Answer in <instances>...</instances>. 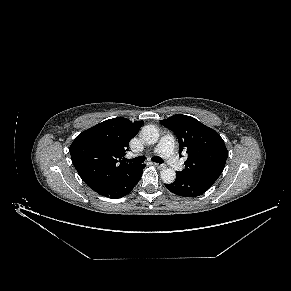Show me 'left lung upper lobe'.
I'll use <instances>...</instances> for the list:
<instances>
[{"label": "left lung upper lobe", "instance_id": "left-lung-upper-lobe-1", "mask_svg": "<svg viewBox=\"0 0 291 291\" xmlns=\"http://www.w3.org/2000/svg\"><path fill=\"white\" fill-rule=\"evenodd\" d=\"M179 140V152L186 151L188 159L182 174L191 177L218 178L228 157V151L220 135L193 117L176 114L161 120Z\"/></svg>", "mask_w": 291, "mask_h": 291}]
</instances>
